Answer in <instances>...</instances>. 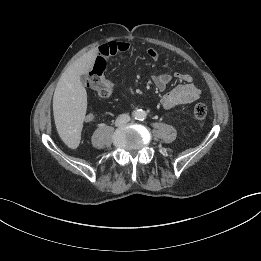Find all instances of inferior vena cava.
Listing matches in <instances>:
<instances>
[{
	"mask_svg": "<svg viewBox=\"0 0 261 261\" xmlns=\"http://www.w3.org/2000/svg\"><path fill=\"white\" fill-rule=\"evenodd\" d=\"M130 121V116L128 114H121L116 120L117 125H124Z\"/></svg>",
	"mask_w": 261,
	"mask_h": 261,
	"instance_id": "1",
	"label": "inferior vena cava"
}]
</instances>
